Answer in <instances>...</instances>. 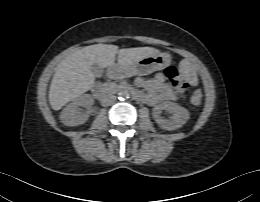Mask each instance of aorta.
<instances>
[{"instance_id": "obj_1", "label": "aorta", "mask_w": 260, "mask_h": 202, "mask_svg": "<svg viewBox=\"0 0 260 202\" xmlns=\"http://www.w3.org/2000/svg\"><path fill=\"white\" fill-rule=\"evenodd\" d=\"M126 98H129L128 91H121V92H119V99H126Z\"/></svg>"}]
</instances>
